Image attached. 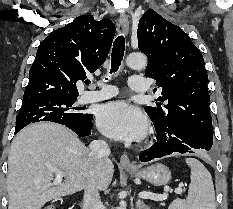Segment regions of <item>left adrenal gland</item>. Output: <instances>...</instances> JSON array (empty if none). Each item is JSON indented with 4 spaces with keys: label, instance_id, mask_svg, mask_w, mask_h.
<instances>
[{
    "label": "left adrenal gland",
    "instance_id": "left-adrenal-gland-1",
    "mask_svg": "<svg viewBox=\"0 0 233 209\" xmlns=\"http://www.w3.org/2000/svg\"><path fill=\"white\" fill-rule=\"evenodd\" d=\"M136 208L137 209H150L149 206H147L143 201H141L140 199L137 200L136 202Z\"/></svg>",
    "mask_w": 233,
    "mask_h": 209
}]
</instances>
